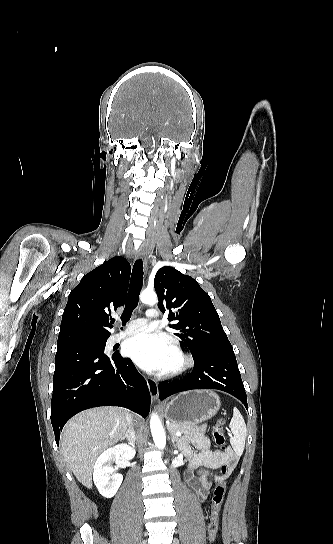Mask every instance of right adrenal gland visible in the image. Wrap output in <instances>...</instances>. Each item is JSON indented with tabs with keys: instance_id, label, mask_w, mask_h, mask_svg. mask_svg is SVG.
Instances as JSON below:
<instances>
[{
	"instance_id": "obj_1",
	"label": "right adrenal gland",
	"mask_w": 333,
	"mask_h": 544,
	"mask_svg": "<svg viewBox=\"0 0 333 544\" xmlns=\"http://www.w3.org/2000/svg\"><path fill=\"white\" fill-rule=\"evenodd\" d=\"M125 439H126L133 447H135L136 437H135V434H134V432H133L132 429L129 430V431L125 434L123 440H125Z\"/></svg>"
}]
</instances>
